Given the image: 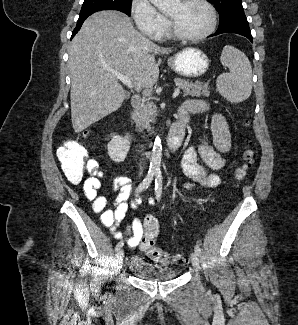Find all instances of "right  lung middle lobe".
Instances as JSON below:
<instances>
[{
  "label": "right lung middle lobe",
  "mask_w": 298,
  "mask_h": 325,
  "mask_svg": "<svg viewBox=\"0 0 298 325\" xmlns=\"http://www.w3.org/2000/svg\"><path fill=\"white\" fill-rule=\"evenodd\" d=\"M132 0H84L79 14L85 20L91 14L101 10H118L130 16Z\"/></svg>",
  "instance_id": "right-lung-middle-lobe-1"
}]
</instances>
